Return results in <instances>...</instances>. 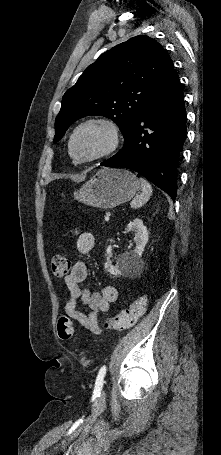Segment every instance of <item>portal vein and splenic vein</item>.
<instances>
[{
	"label": "portal vein and splenic vein",
	"mask_w": 221,
	"mask_h": 455,
	"mask_svg": "<svg viewBox=\"0 0 221 455\" xmlns=\"http://www.w3.org/2000/svg\"><path fill=\"white\" fill-rule=\"evenodd\" d=\"M109 220H110V214H106L105 221H109Z\"/></svg>",
	"instance_id": "1"
}]
</instances>
